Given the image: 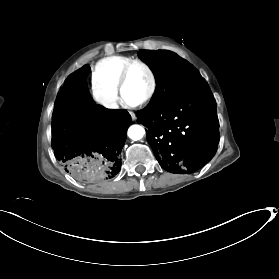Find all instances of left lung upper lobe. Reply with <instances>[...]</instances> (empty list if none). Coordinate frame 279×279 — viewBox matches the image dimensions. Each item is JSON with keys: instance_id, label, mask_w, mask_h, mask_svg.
<instances>
[{"instance_id": "left-lung-upper-lobe-1", "label": "left lung upper lobe", "mask_w": 279, "mask_h": 279, "mask_svg": "<svg viewBox=\"0 0 279 279\" xmlns=\"http://www.w3.org/2000/svg\"><path fill=\"white\" fill-rule=\"evenodd\" d=\"M138 56L149 64L156 78L155 92L149 104L142 109L146 112L167 106L205 82L191 64L173 52L141 50Z\"/></svg>"}]
</instances>
